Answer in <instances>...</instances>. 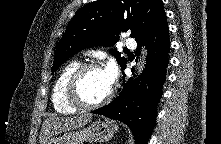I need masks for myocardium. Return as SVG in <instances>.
Returning a JSON list of instances; mask_svg holds the SVG:
<instances>
[{"instance_id": "myocardium-1", "label": "myocardium", "mask_w": 221, "mask_h": 144, "mask_svg": "<svg viewBox=\"0 0 221 144\" xmlns=\"http://www.w3.org/2000/svg\"><path fill=\"white\" fill-rule=\"evenodd\" d=\"M93 69H102L100 64L96 62H87L80 64L70 75L66 87V98L68 102L76 107L77 109H93L100 106H103L107 102L110 101V99L113 96V89L110 88L109 92L99 101L97 102H87L83 99L81 92H80V83L84 75Z\"/></svg>"}]
</instances>
